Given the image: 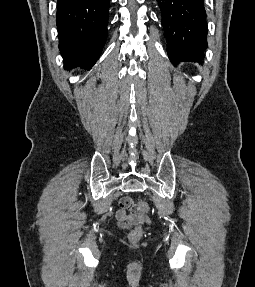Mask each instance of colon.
<instances>
[{
	"instance_id": "1",
	"label": "colon",
	"mask_w": 255,
	"mask_h": 287,
	"mask_svg": "<svg viewBox=\"0 0 255 287\" xmlns=\"http://www.w3.org/2000/svg\"><path fill=\"white\" fill-rule=\"evenodd\" d=\"M138 210L142 217H147L149 211V206L146 202L140 201L138 203ZM143 235V230L141 224H138L134 229L129 232L128 238L131 242H137L141 239Z\"/></svg>"
}]
</instances>
